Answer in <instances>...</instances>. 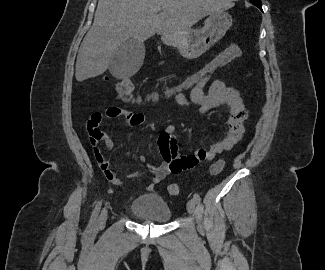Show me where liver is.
I'll list each match as a JSON object with an SVG mask.
<instances>
[{
	"label": "liver",
	"mask_w": 325,
	"mask_h": 270,
	"mask_svg": "<svg viewBox=\"0 0 325 270\" xmlns=\"http://www.w3.org/2000/svg\"><path fill=\"white\" fill-rule=\"evenodd\" d=\"M231 7V0H99L78 51L76 80L103 74L117 48L130 38L143 43L156 33L177 37L210 13Z\"/></svg>",
	"instance_id": "6515ba94"
}]
</instances>
